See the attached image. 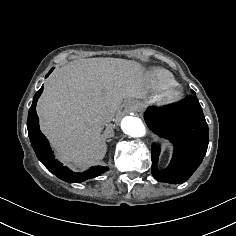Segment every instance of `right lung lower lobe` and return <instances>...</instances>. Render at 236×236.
<instances>
[{
	"label": "right lung lower lobe",
	"mask_w": 236,
	"mask_h": 236,
	"mask_svg": "<svg viewBox=\"0 0 236 236\" xmlns=\"http://www.w3.org/2000/svg\"><path fill=\"white\" fill-rule=\"evenodd\" d=\"M50 72L46 75V77L50 74ZM42 91L43 87H41L40 90H38V92L35 94L32 105L29 109L27 120L28 135L38 159L51 173H53L61 180L69 183L83 182L87 179H91L101 175L102 173H105L108 170V167L105 166H93L89 171H86L84 173L73 172L69 168L63 166L60 162L55 160L46 137L41 133L39 129L36 104Z\"/></svg>",
	"instance_id": "obj_1"
}]
</instances>
